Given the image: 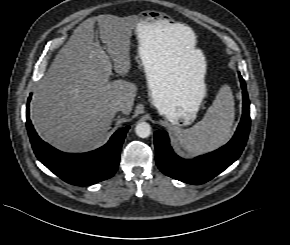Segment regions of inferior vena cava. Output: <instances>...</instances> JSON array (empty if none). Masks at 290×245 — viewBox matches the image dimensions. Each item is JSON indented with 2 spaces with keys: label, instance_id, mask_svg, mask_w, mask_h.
I'll use <instances>...</instances> for the list:
<instances>
[{
  "label": "inferior vena cava",
  "instance_id": "602c4592",
  "mask_svg": "<svg viewBox=\"0 0 290 245\" xmlns=\"http://www.w3.org/2000/svg\"><path fill=\"white\" fill-rule=\"evenodd\" d=\"M112 110L117 112V111H123L124 105L122 102L120 101H115L112 106H111Z\"/></svg>",
  "mask_w": 290,
  "mask_h": 245
}]
</instances>
